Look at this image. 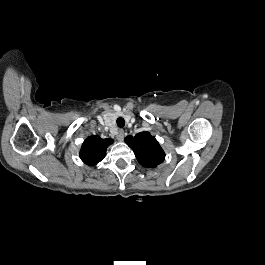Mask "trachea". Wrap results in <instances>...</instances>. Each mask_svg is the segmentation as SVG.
<instances>
[{"label":"trachea","instance_id":"1","mask_svg":"<svg viewBox=\"0 0 265 265\" xmlns=\"http://www.w3.org/2000/svg\"><path fill=\"white\" fill-rule=\"evenodd\" d=\"M116 122L117 126L120 128H123L125 126V120L122 117H119Z\"/></svg>","mask_w":265,"mask_h":265}]
</instances>
